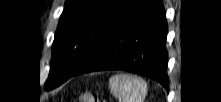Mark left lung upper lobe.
Instances as JSON below:
<instances>
[{
  "label": "left lung upper lobe",
  "instance_id": "left-lung-upper-lobe-1",
  "mask_svg": "<svg viewBox=\"0 0 221 102\" xmlns=\"http://www.w3.org/2000/svg\"><path fill=\"white\" fill-rule=\"evenodd\" d=\"M135 1L66 0L44 88L51 90L69 79Z\"/></svg>",
  "mask_w": 221,
  "mask_h": 102
}]
</instances>
